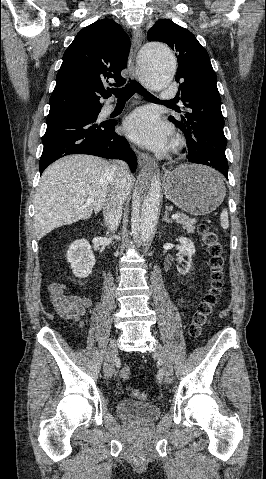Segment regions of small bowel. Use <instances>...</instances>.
<instances>
[{
	"mask_svg": "<svg viewBox=\"0 0 266 479\" xmlns=\"http://www.w3.org/2000/svg\"><path fill=\"white\" fill-rule=\"evenodd\" d=\"M52 304L56 312L67 320L77 323L80 328L85 325V315L92 306V301L85 296L74 294L68 295L59 283L49 285Z\"/></svg>",
	"mask_w": 266,
	"mask_h": 479,
	"instance_id": "obj_1",
	"label": "small bowel"
}]
</instances>
